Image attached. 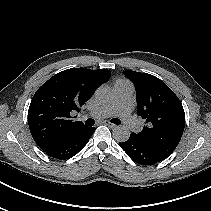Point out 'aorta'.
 Returning <instances> with one entry per match:
<instances>
[{"label":"aorta","mask_w":211,"mask_h":211,"mask_svg":"<svg viewBox=\"0 0 211 211\" xmlns=\"http://www.w3.org/2000/svg\"><path fill=\"white\" fill-rule=\"evenodd\" d=\"M113 94L112 92L105 87H100L95 92V99L100 103H106L112 100ZM130 130L128 127L120 125L114 128L113 137L117 142H125L130 137Z\"/></svg>","instance_id":"1"}]
</instances>
